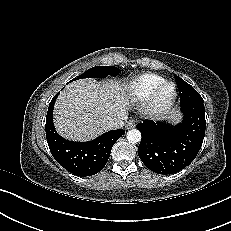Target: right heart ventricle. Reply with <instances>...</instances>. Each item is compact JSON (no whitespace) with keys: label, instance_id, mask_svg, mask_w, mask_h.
Listing matches in <instances>:
<instances>
[{"label":"right heart ventricle","instance_id":"1","mask_svg":"<svg viewBox=\"0 0 231 231\" xmlns=\"http://www.w3.org/2000/svg\"><path fill=\"white\" fill-rule=\"evenodd\" d=\"M163 81L164 78L153 73L141 74L126 83L125 92L132 103L139 104L144 102Z\"/></svg>","mask_w":231,"mask_h":231}]
</instances>
